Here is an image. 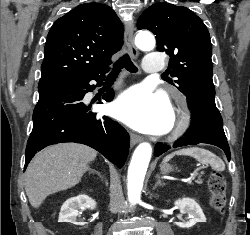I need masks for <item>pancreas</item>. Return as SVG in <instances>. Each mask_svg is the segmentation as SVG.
Wrapping results in <instances>:
<instances>
[{"label":"pancreas","mask_w":250,"mask_h":235,"mask_svg":"<svg viewBox=\"0 0 250 235\" xmlns=\"http://www.w3.org/2000/svg\"><path fill=\"white\" fill-rule=\"evenodd\" d=\"M196 183L201 184V183H202V180L199 178V179L196 181Z\"/></svg>","instance_id":"pancreas-1"}]
</instances>
